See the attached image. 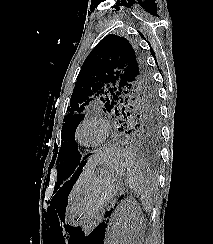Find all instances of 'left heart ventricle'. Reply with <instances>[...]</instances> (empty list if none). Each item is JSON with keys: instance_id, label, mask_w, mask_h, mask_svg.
I'll return each instance as SVG.
<instances>
[{"instance_id": "obj_1", "label": "left heart ventricle", "mask_w": 213, "mask_h": 244, "mask_svg": "<svg viewBox=\"0 0 213 244\" xmlns=\"http://www.w3.org/2000/svg\"><path fill=\"white\" fill-rule=\"evenodd\" d=\"M102 136L100 125L92 123L85 125L80 131V138L87 143H93Z\"/></svg>"}]
</instances>
